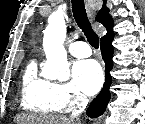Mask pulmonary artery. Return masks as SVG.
<instances>
[{
    "mask_svg": "<svg viewBox=\"0 0 145 124\" xmlns=\"http://www.w3.org/2000/svg\"><path fill=\"white\" fill-rule=\"evenodd\" d=\"M70 53L77 58L88 57L92 54L90 46L84 41H76L69 45Z\"/></svg>",
    "mask_w": 145,
    "mask_h": 124,
    "instance_id": "obj_1",
    "label": "pulmonary artery"
}]
</instances>
